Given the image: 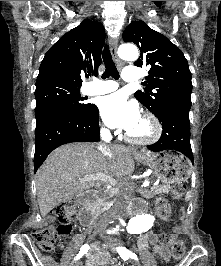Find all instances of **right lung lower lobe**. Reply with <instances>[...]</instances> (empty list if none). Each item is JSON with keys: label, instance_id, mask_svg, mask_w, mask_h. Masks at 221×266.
I'll use <instances>...</instances> for the list:
<instances>
[{"label": "right lung lower lobe", "instance_id": "1", "mask_svg": "<svg viewBox=\"0 0 221 266\" xmlns=\"http://www.w3.org/2000/svg\"><path fill=\"white\" fill-rule=\"evenodd\" d=\"M99 135V112L95 105L85 114L59 113L46 118L36 124L34 172L60 145L100 141Z\"/></svg>", "mask_w": 221, "mask_h": 266}]
</instances>
